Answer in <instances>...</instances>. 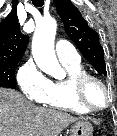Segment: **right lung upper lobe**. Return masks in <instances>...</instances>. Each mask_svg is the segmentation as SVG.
Masks as SVG:
<instances>
[{"instance_id": "obj_1", "label": "right lung upper lobe", "mask_w": 117, "mask_h": 136, "mask_svg": "<svg viewBox=\"0 0 117 136\" xmlns=\"http://www.w3.org/2000/svg\"><path fill=\"white\" fill-rule=\"evenodd\" d=\"M29 37L20 31L17 18V0H13L11 13L0 22V62H19Z\"/></svg>"}]
</instances>
